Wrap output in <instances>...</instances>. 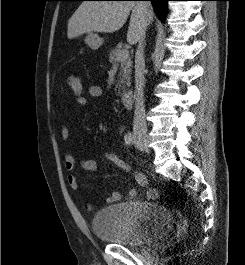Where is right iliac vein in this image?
Listing matches in <instances>:
<instances>
[{
    "instance_id": "right-iliac-vein-1",
    "label": "right iliac vein",
    "mask_w": 245,
    "mask_h": 265,
    "mask_svg": "<svg viewBox=\"0 0 245 265\" xmlns=\"http://www.w3.org/2000/svg\"><path fill=\"white\" fill-rule=\"evenodd\" d=\"M135 145L141 151H144L146 153H149V151H150L149 147H148L147 140L145 138H142V137L136 138L135 139Z\"/></svg>"
}]
</instances>
